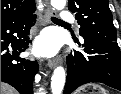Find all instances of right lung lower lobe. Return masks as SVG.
<instances>
[{
  "label": "right lung lower lobe",
  "mask_w": 121,
  "mask_h": 94,
  "mask_svg": "<svg viewBox=\"0 0 121 94\" xmlns=\"http://www.w3.org/2000/svg\"><path fill=\"white\" fill-rule=\"evenodd\" d=\"M31 11L1 20V81L15 87L21 94H32V82L38 63L19 57L29 44V29L36 19ZM9 44L13 52H9Z\"/></svg>",
  "instance_id": "obj_1"
}]
</instances>
